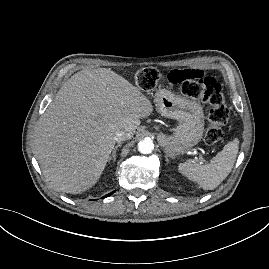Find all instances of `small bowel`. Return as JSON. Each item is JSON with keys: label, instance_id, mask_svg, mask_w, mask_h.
Wrapping results in <instances>:
<instances>
[{"label": "small bowel", "instance_id": "c3829d8e", "mask_svg": "<svg viewBox=\"0 0 269 269\" xmlns=\"http://www.w3.org/2000/svg\"><path fill=\"white\" fill-rule=\"evenodd\" d=\"M205 70H195L193 67H185L177 70L171 71L169 74H164V79L168 80L171 84H179L186 81H193L197 79L206 78Z\"/></svg>", "mask_w": 269, "mask_h": 269}]
</instances>
